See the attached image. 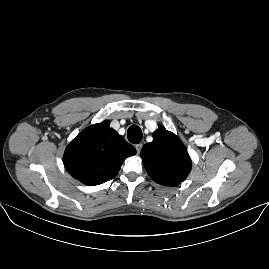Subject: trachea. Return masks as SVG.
Here are the masks:
<instances>
[{
    "mask_svg": "<svg viewBox=\"0 0 269 269\" xmlns=\"http://www.w3.org/2000/svg\"><path fill=\"white\" fill-rule=\"evenodd\" d=\"M128 140L133 144H138L143 138L141 128L137 125H132L128 128L127 132Z\"/></svg>",
    "mask_w": 269,
    "mask_h": 269,
    "instance_id": "1",
    "label": "trachea"
}]
</instances>
